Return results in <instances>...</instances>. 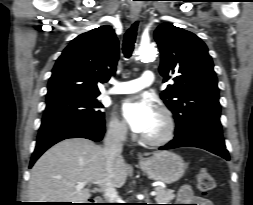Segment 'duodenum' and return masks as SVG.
Here are the masks:
<instances>
[{
  "label": "duodenum",
  "mask_w": 253,
  "mask_h": 205,
  "mask_svg": "<svg viewBox=\"0 0 253 205\" xmlns=\"http://www.w3.org/2000/svg\"><path fill=\"white\" fill-rule=\"evenodd\" d=\"M94 201L99 202V201H101V199L100 198H96V199H94Z\"/></svg>",
  "instance_id": "1"
}]
</instances>
